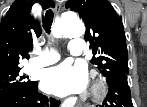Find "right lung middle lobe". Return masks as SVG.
<instances>
[{"mask_svg": "<svg viewBox=\"0 0 147 107\" xmlns=\"http://www.w3.org/2000/svg\"><path fill=\"white\" fill-rule=\"evenodd\" d=\"M18 65L0 70V98L15 93L20 90L29 89L35 81L27 80L28 77L22 76Z\"/></svg>", "mask_w": 147, "mask_h": 107, "instance_id": "1", "label": "right lung middle lobe"}]
</instances>
